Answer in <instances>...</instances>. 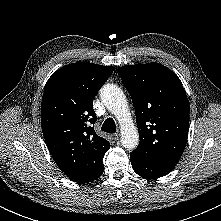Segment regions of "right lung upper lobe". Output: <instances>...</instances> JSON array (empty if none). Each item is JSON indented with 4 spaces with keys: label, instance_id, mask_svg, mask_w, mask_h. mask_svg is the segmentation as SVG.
I'll return each mask as SVG.
<instances>
[{
    "label": "right lung upper lobe",
    "instance_id": "1",
    "mask_svg": "<svg viewBox=\"0 0 221 221\" xmlns=\"http://www.w3.org/2000/svg\"><path fill=\"white\" fill-rule=\"evenodd\" d=\"M113 66L89 62L68 64L47 81L41 124L47 147L58 167L79 184L99 178L110 143L94 130L93 98Z\"/></svg>",
    "mask_w": 221,
    "mask_h": 221
}]
</instances>
